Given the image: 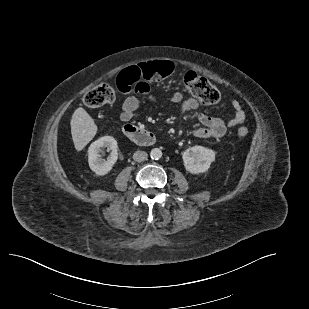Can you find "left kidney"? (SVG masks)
Listing matches in <instances>:
<instances>
[{
  "label": "left kidney",
  "instance_id": "1",
  "mask_svg": "<svg viewBox=\"0 0 309 309\" xmlns=\"http://www.w3.org/2000/svg\"><path fill=\"white\" fill-rule=\"evenodd\" d=\"M186 171L191 174L206 172L215 160V152L203 146H193L182 153Z\"/></svg>",
  "mask_w": 309,
  "mask_h": 309
}]
</instances>
